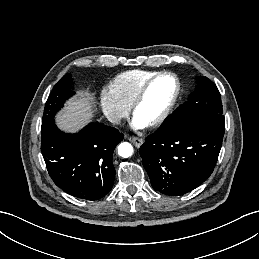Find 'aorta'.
Segmentation results:
<instances>
[{
  "mask_svg": "<svg viewBox=\"0 0 259 259\" xmlns=\"http://www.w3.org/2000/svg\"><path fill=\"white\" fill-rule=\"evenodd\" d=\"M133 154V146L128 142H123L118 146V155L128 158Z\"/></svg>",
  "mask_w": 259,
  "mask_h": 259,
  "instance_id": "aorta-1",
  "label": "aorta"
}]
</instances>
